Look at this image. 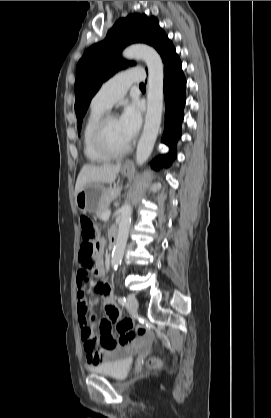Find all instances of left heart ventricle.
<instances>
[{"label":"left heart ventricle","mask_w":271,"mask_h":418,"mask_svg":"<svg viewBox=\"0 0 271 418\" xmlns=\"http://www.w3.org/2000/svg\"><path fill=\"white\" fill-rule=\"evenodd\" d=\"M106 137L110 146L115 149H121L129 142L122 131L118 118H114L109 122Z\"/></svg>","instance_id":"left-heart-ventricle-1"}]
</instances>
